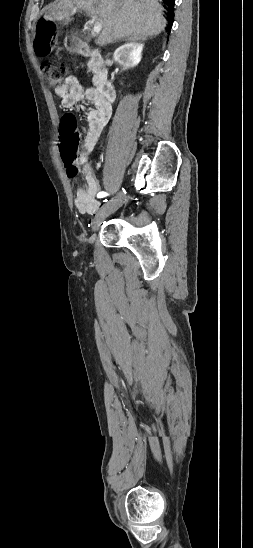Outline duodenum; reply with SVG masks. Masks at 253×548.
I'll return each instance as SVG.
<instances>
[{
	"label": "duodenum",
	"instance_id": "duodenum-1",
	"mask_svg": "<svg viewBox=\"0 0 253 548\" xmlns=\"http://www.w3.org/2000/svg\"><path fill=\"white\" fill-rule=\"evenodd\" d=\"M78 51L85 57H88L93 64L98 68V78L96 82V90L104 99L112 102L115 99V86L108 77V73L104 68V57L98 50H92L84 43H73Z\"/></svg>",
	"mask_w": 253,
	"mask_h": 548
}]
</instances>
